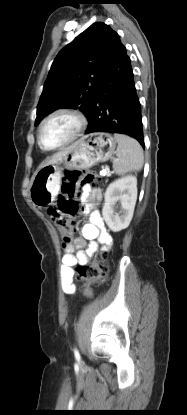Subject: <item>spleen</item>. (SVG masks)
I'll use <instances>...</instances> for the list:
<instances>
[{
  "label": "spleen",
  "instance_id": "obj_1",
  "mask_svg": "<svg viewBox=\"0 0 187 415\" xmlns=\"http://www.w3.org/2000/svg\"><path fill=\"white\" fill-rule=\"evenodd\" d=\"M114 138L118 143L117 159L113 162L114 172L117 175H124L140 171L143 167L144 155L139 142L123 134H114Z\"/></svg>",
  "mask_w": 187,
  "mask_h": 415
}]
</instances>
